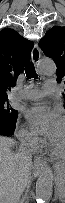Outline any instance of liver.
Listing matches in <instances>:
<instances>
[{
  "label": "liver",
  "mask_w": 65,
  "mask_h": 203,
  "mask_svg": "<svg viewBox=\"0 0 65 203\" xmlns=\"http://www.w3.org/2000/svg\"><path fill=\"white\" fill-rule=\"evenodd\" d=\"M13 144L11 138L0 137V201L3 199L4 203H9L15 188L22 180L27 183L32 168L31 161H22L10 150L9 147Z\"/></svg>",
  "instance_id": "obj_1"
}]
</instances>
